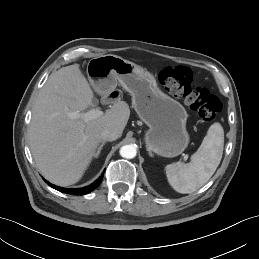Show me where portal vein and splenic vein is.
<instances>
[{
	"mask_svg": "<svg viewBox=\"0 0 259 259\" xmlns=\"http://www.w3.org/2000/svg\"><path fill=\"white\" fill-rule=\"evenodd\" d=\"M103 115V112L99 109H92L86 113L72 112L70 116L72 118L82 119L84 122H88L90 120L96 119Z\"/></svg>",
	"mask_w": 259,
	"mask_h": 259,
	"instance_id": "obj_1",
	"label": "portal vein and splenic vein"
}]
</instances>
